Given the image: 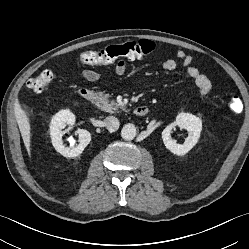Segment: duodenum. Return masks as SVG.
<instances>
[{"label": "duodenum", "mask_w": 249, "mask_h": 249, "mask_svg": "<svg viewBox=\"0 0 249 249\" xmlns=\"http://www.w3.org/2000/svg\"><path fill=\"white\" fill-rule=\"evenodd\" d=\"M79 94L80 96L86 100V101H94L96 99V94L95 92L87 87H82L79 89ZM149 111V108L147 105H139L135 108L134 113L138 117L145 116Z\"/></svg>", "instance_id": "410a0bca"}]
</instances>
